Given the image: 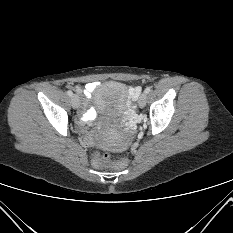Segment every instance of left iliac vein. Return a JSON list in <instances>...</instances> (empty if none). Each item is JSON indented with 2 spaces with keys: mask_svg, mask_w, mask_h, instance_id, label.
I'll use <instances>...</instances> for the list:
<instances>
[{
  "mask_svg": "<svg viewBox=\"0 0 233 233\" xmlns=\"http://www.w3.org/2000/svg\"><path fill=\"white\" fill-rule=\"evenodd\" d=\"M146 101H147V95L145 92H143L138 98L139 107L143 108L146 105Z\"/></svg>",
  "mask_w": 233,
  "mask_h": 233,
  "instance_id": "obj_1",
  "label": "left iliac vein"
}]
</instances>
